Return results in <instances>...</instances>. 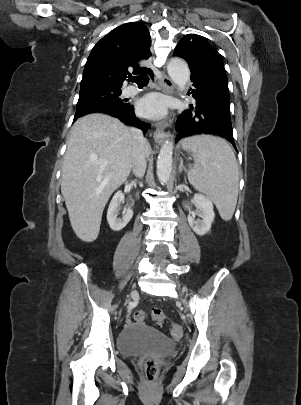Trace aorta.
Returning a JSON list of instances; mask_svg holds the SVG:
<instances>
[{
    "label": "aorta",
    "instance_id": "1",
    "mask_svg": "<svg viewBox=\"0 0 301 405\" xmlns=\"http://www.w3.org/2000/svg\"><path fill=\"white\" fill-rule=\"evenodd\" d=\"M167 71L174 84L180 91L185 90L190 79V70L187 63L180 58H172ZM174 144L171 139H167L161 146L157 159V177L161 183H166L172 173Z\"/></svg>",
    "mask_w": 301,
    "mask_h": 405
}]
</instances>
